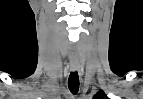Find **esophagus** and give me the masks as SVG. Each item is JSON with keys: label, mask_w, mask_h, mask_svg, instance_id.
Listing matches in <instances>:
<instances>
[{"label": "esophagus", "mask_w": 143, "mask_h": 99, "mask_svg": "<svg viewBox=\"0 0 143 99\" xmlns=\"http://www.w3.org/2000/svg\"><path fill=\"white\" fill-rule=\"evenodd\" d=\"M70 67H71V70H72L73 72L79 70V65H78L77 62H71ZM81 80H82V77H81Z\"/></svg>", "instance_id": "34e87169"}]
</instances>
